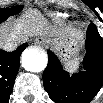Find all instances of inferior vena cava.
Masks as SVG:
<instances>
[{
	"instance_id": "inferior-vena-cava-1",
	"label": "inferior vena cava",
	"mask_w": 103,
	"mask_h": 103,
	"mask_svg": "<svg viewBox=\"0 0 103 103\" xmlns=\"http://www.w3.org/2000/svg\"><path fill=\"white\" fill-rule=\"evenodd\" d=\"M18 46V44L16 42H7L5 44H2V47L6 50V51H13L14 49H16Z\"/></svg>"
}]
</instances>
